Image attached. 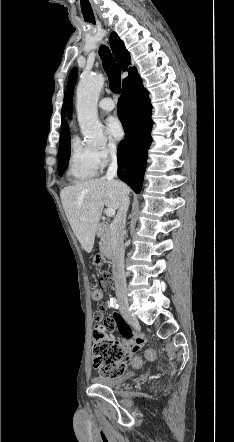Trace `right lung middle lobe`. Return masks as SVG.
<instances>
[{
  "mask_svg": "<svg viewBox=\"0 0 234 442\" xmlns=\"http://www.w3.org/2000/svg\"><path fill=\"white\" fill-rule=\"evenodd\" d=\"M70 140L65 143L63 146H59L58 151V174L62 175L64 171L67 169L68 160L70 157Z\"/></svg>",
  "mask_w": 234,
  "mask_h": 442,
  "instance_id": "obj_1",
  "label": "right lung middle lobe"
}]
</instances>
